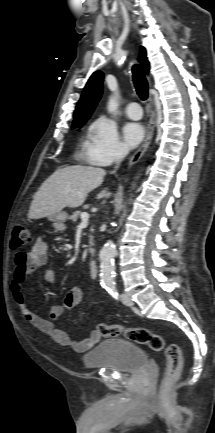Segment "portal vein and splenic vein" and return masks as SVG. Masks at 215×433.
I'll list each match as a JSON object with an SVG mask.
<instances>
[{
  "instance_id": "1",
  "label": "portal vein and splenic vein",
  "mask_w": 215,
  "mask_h": 433,
  "mask_svg": "<svg viewBox=\"0 0 215 433\" xmlns=\"http://www.w3.org/2000/svg\"><path fill=\"white\" fill-rule=\"evenodd\" d=\"M81 219H82L81 225L82 226H87L88 225L89 215L87 213H82Z\"/></svg>"
}]
</instances>
